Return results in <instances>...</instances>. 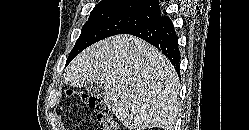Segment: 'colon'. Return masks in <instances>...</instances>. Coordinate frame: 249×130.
I'll return each instance as SVG.
<instances>
[{
	"label": "colon",
	"mask_w": 249,
	"mask_h": 130,
	"mask_svg": "<svg viewBox=\"0 0 249 130\" xmlns=\"http://www.w3.org/2000/svg\"><path fill=\"white\" fill-rule=\"evenodd\" d=\"M68 93L73 94L72 91H68ZM77 95L85 105L96 112L99 130H120L119 124L100 99L86 93H78Z\"/></svg>",
	"instance_id": "1"
}]
</instances>
